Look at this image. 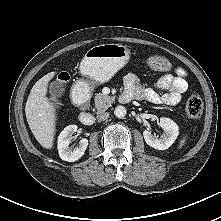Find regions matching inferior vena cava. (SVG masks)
<instances>
[{"label": "inferior vena cava", "instance_id": "1", "mask_svg": "<svg viewBox=\"0 0 221 221\" xmlns=\"http://www.w3.org/2000/svg\"><path fill=\"white\" fill-rule=\"evenodd\" d=\"M109 117V113L105 112L97 116L99 122L106 120Z\"/></svg>", "mask_w": 221, "mask_h": 221}]
</instances>
